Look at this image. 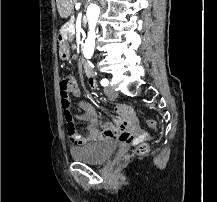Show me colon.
<instances>
[{"label": "colon", "instance_id": "5ec220e1", "mask_svg": "<svg viewBox=\"0 0 217 202\" xmlns=\"http://www.w3.org/2000/svg\"><path fill=\"white\" fill-rule=\"evenodd\" d=\"M72 86V82L70 79L65 78L60 81L59 89H60V100L61 106L63 110V117L67 131H76L75 123L73 119V113L71 109V97H70V87ZM146 125L151 128L155 125L153 118L146 119ZM147 139L144 141H149L150 137L148 135ZM148 149V143H142L138 146L137 154L142 155Z\"/></svg>", "mask_w": 217, "mask_h": 202}]
</instances>
